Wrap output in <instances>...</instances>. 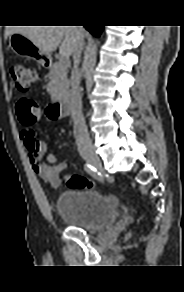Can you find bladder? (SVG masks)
<instances>
[{"instance_id":"obj_1","label":"bladder","mask_w":184,"mask_h":292,"mask_svg":"<svg viewBox=\"0 0 184 292\" xmlns=\"http://www.w3.org/2000/svg\"><path fill=\"white\" fill-rule=\"evenodd\" d=\"M55 209L68 226L88 232L112 225L118 214L117 204L112 198L91 188L64 191L58 197Z\"/></svg>"}]
</instances>
